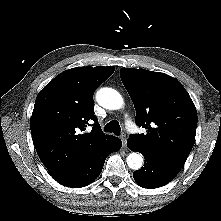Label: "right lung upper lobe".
<instances>
[{
    "label": "right lung upper lobe",
    "instance_id": "1",
    "mask_svg": "<svg viewBox=\"0 0 221 221\" xmlns=\"http://www.w3.org/2000/svg\"><path fill=\"white\" fill-rule=\"evenodd\" d=\"M114 67H78L62 72L38 94L30 120L37 154L55 180L73 172L115 137L94 115L93 93ZM94 121L91 132H83Z\"/></svg>",
    "mask_w": 221,
    "mask_h": 221
}]
</instances>
